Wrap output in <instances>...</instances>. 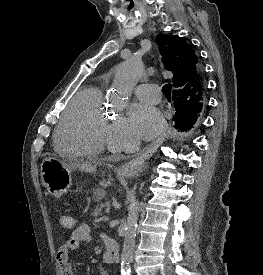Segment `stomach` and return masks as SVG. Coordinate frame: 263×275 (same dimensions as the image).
<instances>
[{"instance_id": "0dacf381", "label": "stomach", "mask_w": 263, "mask_h": 275, "mask_svg": "<svg viewBox=\"0 0 263 275\" xmlns=\"http://www.w3.org/2000/svg\"><path fill=\"white\" fill-rule=\"evenodd\" d=\"M74 166L64 161L48 157L41 163V180L49 194L59 198L72 186Z\"/></svg>"}]
</instances>
